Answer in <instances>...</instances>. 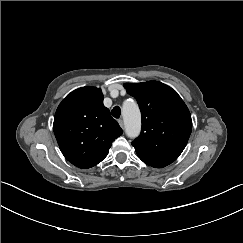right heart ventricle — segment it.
Returning <instances> with one entry per match:
<instances>
[{"mask_svg":"<svg viewBox=\"0 0 243 243\" xmlns=\"http://www.w3.org/2000/svg\"><path fill=\"white\" fill-rule=\"evenodd\" d=\"M133 102V100H127V102L126 103H129V104H131Z\"/></svg>","mask_w":243,"mask_h":243,"instance_id":"1","label":"right heart ventricle"}]
</instances>
